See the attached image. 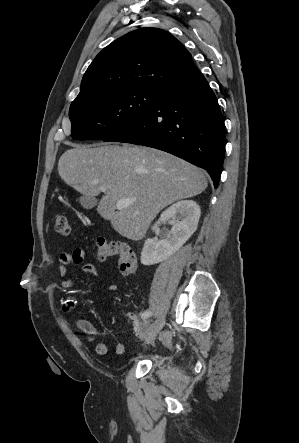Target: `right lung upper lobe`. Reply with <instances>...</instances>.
Listing matches in <instances>:
<instances>
[{
	"label": "right lung upper lobe",
	"instance_id": "cb5924a9",
	"mask_svg": "<svg viewBox=\"0 0 299 443\" xmlns=\"http://www.w3.org/2000/svg\"><path fill=\"white\" fill-rule=\"evenodd\" d=\"M198 72L191 54L170 33L142 28L116 39L96 56L73 102L119 89L162 91Z\"/></svg>",
	"mask_w": 299,
	"mask_h": 443
}]
</instances>
